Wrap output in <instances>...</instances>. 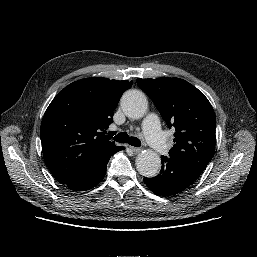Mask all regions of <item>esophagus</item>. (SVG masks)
Returning <instances> with one entry per match:
<instances>
[{
	"instance_id": "esophagus-1",
	"label": "esophagus",
	"mask_w": 257,
	"mask_h": 257,
	"mask_svg": "<svg viewBox=\"0 0 257 257\" xmlns=\"http://www.w3.org/2000/svg\"><path fill=\"white\" fill-rule=\"evenodd\" d=\"M130 148H131V150H132L135 154L141 152V150H142V149L139 148V147H133V146H131Z\"/></svg>"
}]
</instances>
